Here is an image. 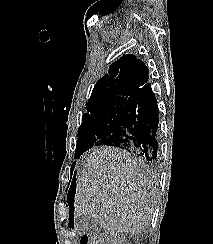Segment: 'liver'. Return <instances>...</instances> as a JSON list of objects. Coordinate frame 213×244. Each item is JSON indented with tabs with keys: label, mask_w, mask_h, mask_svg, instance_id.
Returning <instances> with one entry per match:
<instances>
[{
	"label": "liver",
	"mask_w": 213,
	"mask_h": 244,
	"mask_svg": "<svg viewBox=\"0 0 213 244\" xmlns=\"http://www.w3.org/2000/svg\"><path fill=\"white\" fill-rule=\"evenodd\" d=\"M157 186L151 170L128 152L95 148L76 177L74 216L90 215L112 233H141L157 204Z\"/></svg>",
	"instance_id": "1"
}]
</instances>
